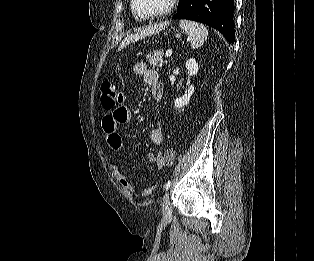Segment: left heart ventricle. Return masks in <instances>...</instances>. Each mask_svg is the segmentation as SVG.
<instances>
[{
  "label": "left heart ventricle",
  "instance_id": "obj_1",
  "mask_svg": "<svg viewBox=\"0 0 314 261\" xmlns=\"http://www.w3.org/2000/svg\"><path fill=\"white\" fill-rule=\"evenodd\" d=\"M169 0H136V7L142 14H152L164 9Z\"/></svg>",
  "mask_w": 314,
  "mask_h": 261
}]
</instances>
